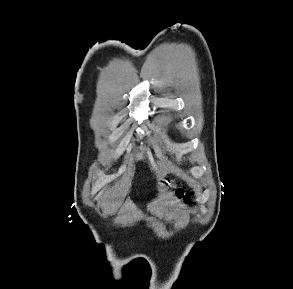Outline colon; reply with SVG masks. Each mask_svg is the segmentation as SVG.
<instances>
[{
    "label": "colon",
    "instance_id": "1",
    "mask_svg": "<svg viewBox=\"0 0 293 289\" xmlns=\"http://www.w3.org/2000/svg\"><path fill=\"white\" fill-rule=\"evenodd\" d=\"M176 196L179 200H182L184 203L190 202V196L183 189H178L176 191Z\"/></svg>",
    "mask_w": 293,
    "mask_h": 289
}]
</instances>
